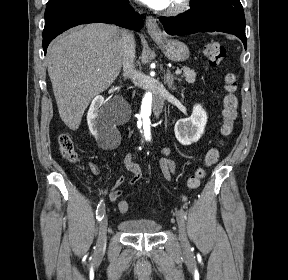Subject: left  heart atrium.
Here are the masks:
<instances>
[{
    "label": "left heart atrium",
    "mask_w": 288,
    "mask_h": 280,
    "mask_svg": "<svg viewBox=\"0 0 288 280\" xmlns=\"http://www.w3.org/2000/svg\"><path fill=\"white\" fill-rule=\"evenodd\" d=\"M147 4L148 6L157 9V10H163L170 6L172 0H140Z\"/></svg>",
    "instance_id": "1"
}]
</instances>
